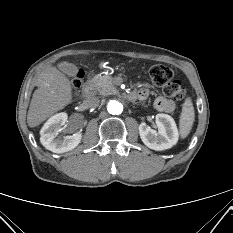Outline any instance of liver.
<instances>
[{
    "label": "liver",
    "mask_w": 233,
    "mask_h": 233,
    "mask_svg": "<svg viewBox=\"0 0 233 233\" xmlns=\"http://www.w3.org/2000/svg\"><path fill=\"white\" fill-rule=\"evenodd\" d=\"M38 89L33 93L28 114L29 127H35L67 106L72 100L69 79L56 67L48 66L37 78Z\"/></svg>",
    "instance_id": "1"
}]
</instances>
